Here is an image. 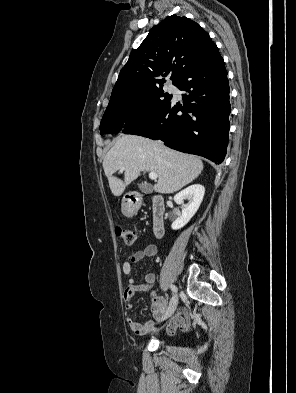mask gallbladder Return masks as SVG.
<instances>
[{
	"label": "gallbladder",
	"mask_w": 296,
	"mask_h": 393,
	"mask_svg": "<svg viewBox=\"0 0 296 393\" xmlns=\"http://www.w3.org/2000/svg\"><path fill=\"white\" fill-rule=\"evenodd\" d=\"M138 188H139L143 193H147V194L151 193L152 190H153L151 185H148V184H145V183H140V184H138Z\"/></svg>",
	"instance_id": "gallbladder-1"
}]
</instances>
